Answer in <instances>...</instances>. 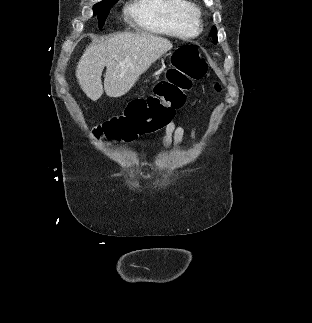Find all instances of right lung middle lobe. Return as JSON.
I'll use <instances>...</instances> for the list:
<instances>
[{
  "label": "right lung middle lobe",
  "mask_w": 312,
  "mask_h": 323,
  "mask_svg": "<svg viewBox=\"0 0 312 323\" xmlns=\"http://www.w3.org/2000/svg\"><path fill=\"white\" fill-rule=\"evenodd\" d=\"M114 2L111 3H106V4H96L93 8L94 14H98V20H99V26L100 28L103 27L104 22L109 14V7L113 4Z\"/></svg>",
  "instance_id": "obj_1"
}]
</instances>
